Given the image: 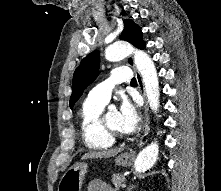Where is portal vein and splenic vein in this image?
Segmentation results:
<instances>
[{"label":"portal vein and splenic vein","mask_w":221,"mask_h":191,"mask_svg":"<svg viewBox=\"0 0 221 191\" xmlns=\"http://www.w3.org/2000/svg\"><path fill=\"white\" fill-rule=\"evenodd\" d=\"M122 187H126V184H122Z\"/></svg>","instance_id":"portal-vein-and-splenic-vein-1"}]
</instances>
